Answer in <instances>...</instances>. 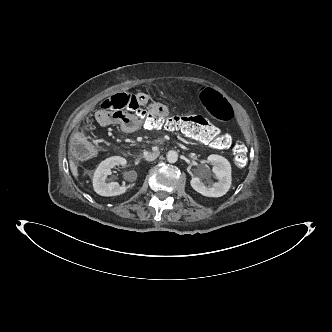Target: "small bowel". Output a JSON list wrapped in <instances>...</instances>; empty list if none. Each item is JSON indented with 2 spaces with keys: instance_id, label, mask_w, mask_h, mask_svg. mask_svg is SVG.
Here are the masks:
<instances>
[{
  "instance_id": "obj_1",
  "label": "small bowel",
  "mask_w": 332,
  "mask_h": 332,
  "mask_svg": "<svg viewBox=\"0 0 332 332\" xmlns=\"http://www.w3.org/2000/svg\"><path fill=\"white\" fill-rule=\"evenodd\" d=\"M138 104L143 110L152 113L153 116L166 119L170 115L168 106L161 102H152L149 95L143 92L137 93ZM95 119L102 125L119 126L125 133H138L141 129L139 117L130 110L98 109Z\"/></svg>"
}]
</instances>
